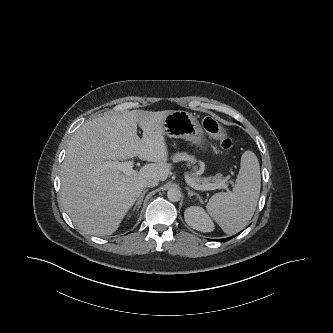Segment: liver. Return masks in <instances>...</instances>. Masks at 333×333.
I'll use <instances>...</instances> for the list:
<instances>
[{"mask_svg":"<svg viewBox=\"0 0 333 333\" xmlns=\"http://www.w3.org/2000/svg\"><path fill=\"white\" fill-rule=\"evenodd\" d=\"M173 110L108 113L84 123L71 137L61 170V198L83 232L111 235L142 194L147 178L165 181L167 163L163 121ZM137 125L143 130L137 135ZM138 156L150 161L132 175L104 166Z\"/></svg>","mask_w":333,"mask_h":333,"instance_id":"obj_1","label":"liver"}]
</instances>
